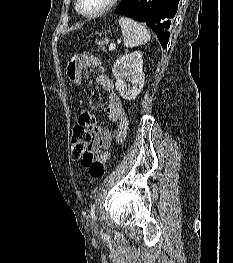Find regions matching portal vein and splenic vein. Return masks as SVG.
Returning a JSON list of instances; mask_svg holds the SVG:
<instances>
[{
    "label": "portal vein and splenic vein",
    "instance_id": "1",
    "mask_svg": "<svg viewBox=\"0 0 233 263\" xmlns=\"http://www.w3.org/2000/svg\"><path fill=\"white\" fill-rule=\"evenodd\" d=\"M115 47H116L115 43H111L109 46V51H113Z\"/></svg>",
    "mask_w": 233,
    "mask_h": 263
}]
</instances>
